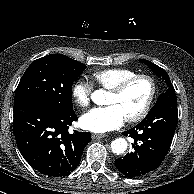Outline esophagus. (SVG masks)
I'll list each match as a JSON object with an SVG mask.
<instances>
[{
  "mask_svg": "<svg viewBox=\"0 0 194 194\" xmlns=\"http://www.w3.org/2000/svg\"><path fill=\"white\" fill-rule=\"evenodd\" d=\"M92 139H100V138H104L106 137V134H96V133H92L91 134Z\"/></svg>",
  "mask_w": 194,
  "mask_h": 194,
  "instance_id": "obj_1",
  "label": "esophagus"
}]
</instances>
